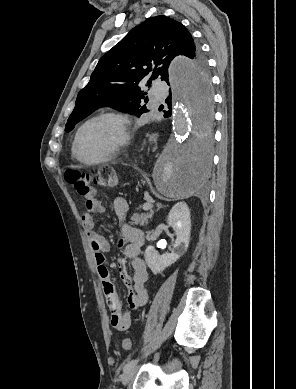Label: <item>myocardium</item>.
<instances>
[{
  "mask_svg": "<svg viewBox=\"0 0 296 389\" xmlns=\"http://www.w3.org/2000/svg\"><path fill=\"white\" fill-rule=\"evenodd\" d=\"M100 119H113L117 122L120 130V138L119 140L100 158L94 159V160H86L82 158L78 151L79 141L81 134L83 130L90 125L91 123L100 120ZM130 140V130H129V120L127 116L121 112L118 111H105L101 112L88 120H86L77 130V133L74 138L73 143V155L75 158L87 165H96L101 164L103 162L108 161L109 159L113 158L115 155H117L128 143Z\"/></svg>",
  "mask_w": 296,
  "mask_h": 389,
  "instance_id": "1",
  "label": "myocardium"
}]
</instances>
